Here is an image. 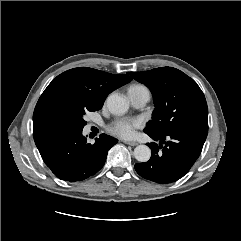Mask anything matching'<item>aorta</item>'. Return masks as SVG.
<instances>
[{
    "label": "aorta",
    "instance_id": "762f6f07",
    "mask_svg": "<svg viewBox=\"0 0 241 241\" xmlns=\"http://www.w3.org/2000/svg\"><path fill=\"white\" fill-rule=\"evenodd\" d=\"M107 106L111 113L123 115L129 109V102L120 94H112L107 98ZM134 157L139 162H147L151 157V150L146 145H138L134 149Z\"/></svg>",
    "mask_w": 241,
    "mask_h": 241
}]
</instances>
